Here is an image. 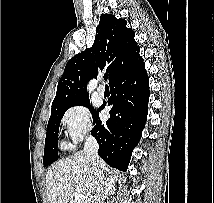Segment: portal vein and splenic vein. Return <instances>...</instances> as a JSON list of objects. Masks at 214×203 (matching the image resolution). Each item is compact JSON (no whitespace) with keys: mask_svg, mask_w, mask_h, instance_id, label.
Returning a JSON list of instances; mask_svg holds the SVG:
<instances>
[{"mask_svg":"<svg viewBox=\"0 0 214 203\" xmlns=\"http://www.w3.org/2000/svg\"><path fill=\"white\" fill-rule=\"evenodd\" d=\"M75 190H76L77 194L74 197V202L83 203V201L85 200V196L82 194V188L80 186H76Z\"/></svg>","mask_w":214,"mask_h":203,"instance_id":"obj_1","label":"portal vein and splenic vein"}]
</instances>
